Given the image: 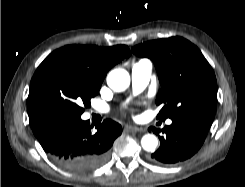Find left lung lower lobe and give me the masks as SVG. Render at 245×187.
<instances>
[{
    "instance_id": "0a47b994",
    "label": "left lung lower lobe",
    "mask_w": 245,
    "mask_h": 187,
    "mask_svg": "<svg viewBox=\"0 0 245 187\" xmlns=\"http://www.w3.org/2000/svg\"><path fill=\"white\" fill-rule=\"evenodd\" d=\"M211 124L210 118L196 117L172 120V124L162 130L153 128L161 144L152 153V159L163 164H175L190 158L202 146Z\"/></svg>"
}]
</instances>
